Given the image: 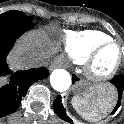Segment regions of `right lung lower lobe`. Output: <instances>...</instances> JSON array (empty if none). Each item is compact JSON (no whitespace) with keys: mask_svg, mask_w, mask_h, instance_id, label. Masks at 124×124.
I'll list each match as a JSON object with an SVG mask.
<instances>
[{"mask_svg":"<svg viewBox=\"0 0 124 124\" xmlns=\"http://www.w3.org/2000/svg\"><path fill=\"white\" fill-rule=\"evenodd\" d=\"M34 26L31 22L0 23V76L12 74L7 67L6 57L13 44L24 32ZM49 75L46 68L17 71L7 85L0 88V117L15 112L32 83Z\"/></svg>","mask_w":124,"mask_h":124,"instance_id":"obj_1","label":"right lung lower lobe"}]
</instances>
